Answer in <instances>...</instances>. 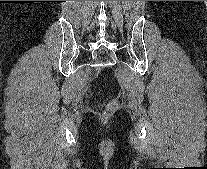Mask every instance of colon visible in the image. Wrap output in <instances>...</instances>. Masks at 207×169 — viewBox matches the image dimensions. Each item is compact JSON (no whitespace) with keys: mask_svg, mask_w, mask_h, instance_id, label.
Wrapping results in <instances>:
<instances>
[{"mask_svg":"<svg viewBox=\"0 0 207 169\" xmlns=\"http://www.w3.org/2000/svg\"><path fill=\"white\" fill-rule=\"evenodd\" d=\"M114 107H115V103H111L110 108H114Z\"/></svg>","mask_w":207,"mask_h":169,"instance_id":"obj_1","label":"colon"}]
</instances>
